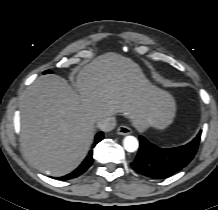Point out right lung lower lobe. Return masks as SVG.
<instances>
[{
    "mask_svg": "<svg viewBox=\"0 0 218 210\" xmlns=\"http://www.w3.org/2000/svg\"><path fill=\"white\" fill-rule=\"evenodd\" d=\"M102 139H103V132L97 133L95 136V141H94L93 146L99 143ZM92 154H93V151L91 150L88 156L85 158V160L81 163V165L76 170H74L72 173L68 175L61 177V179L68 180V179H72V178L78 177L81 174H83L93 163Z\"/></svg>",
    "mask_w": 218,
    "mask_h": 210,
    "instance_id": "98d812e1",
    "label": "right lung lower lobe"
}]
</instances>
